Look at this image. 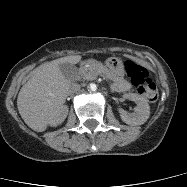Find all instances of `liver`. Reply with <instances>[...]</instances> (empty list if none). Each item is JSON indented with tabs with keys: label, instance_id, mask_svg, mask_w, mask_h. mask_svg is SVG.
Segmentation results:
<instances>
[{
	"label": "liver",
	"instance_id": "liver-1",
	"mask_svg": "<svg viewBox=\"0 0 187 187\" xmlns=\"http://www.w3.org/2000/svg\"><path fill=\"white\" fill-rule=\"evenodd\" d=\"M81 58L80 55L59 58L31 73L17 98L18 111L31 129L45 131L69 95L71 82L62 74L59 64H77Z\"/></svg>",
	"mask_w": 187,
	"mask_h": 187
}]
</instances>
